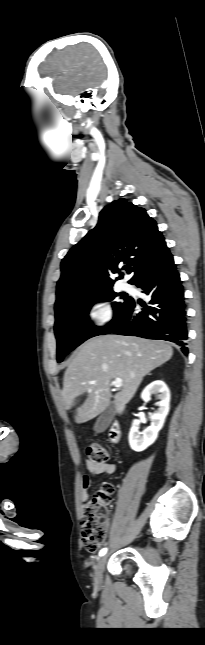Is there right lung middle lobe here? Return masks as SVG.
<instances>
[{
	"instance_id": "right-lung-middle-lobe-1",
	"label": "right lung middle lobe",
	"mask_w": 205,
	"mask_h": 645,
	"mask_svg": "<svg viewBox=\"0 0 205 645\" xmlns=\"http://www.w3.org/2000/svg\"><path fill=\"white\" fill-rule=\"evenodd\" d=\"M120 294L112 289L89 294L80 297L71 306L55 314V335L57 339V361L62 362L63 358L74 348L85 340L100 335L103 331L112 326L130 301V297L124 301L113 302L114 317L109 325L96 327L91 324L88 313L92 305L98 301H111ZM123 298V297H122Z\"/></svg>"
}]
</instances>
